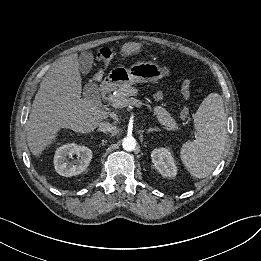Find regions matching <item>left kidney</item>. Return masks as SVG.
Wrapping results in <instances>:
<instances>
[{
    "mask_svg": "<svg viewBox=\"0 0 261 261\" xmlns=\"http://www.w3.org/2000/svg\"><path fill=\"white\" fill-rule=\"evenodd\" d=\"M151 159L156 170L164 177H174L177 174V167L171 152L167 148L154 149Z\"/></svg>",
    "mask_w": 261,
    "mask_h": 261,
    "instance_id": "obj_1",
    "label": "left kidney"
}]
</instances>
